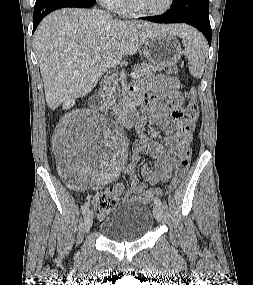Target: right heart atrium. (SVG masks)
<instances>
[{
    "instance_id": "d8ad5b80",
    "label": "right heart atrium",
    "mask_w": 253,
    "mask_h": 285,
    "mask_svg": "<svg viewBox=\"0 0 253 285\" xmlns=\"http://www.w3.org/2000/svg\"><path fill=\"white\" fill-rule=\"evenodd\" d=\"M101 5L109 10H118L123 3V0H98Z\"/></svg>"
}]
</instances>
